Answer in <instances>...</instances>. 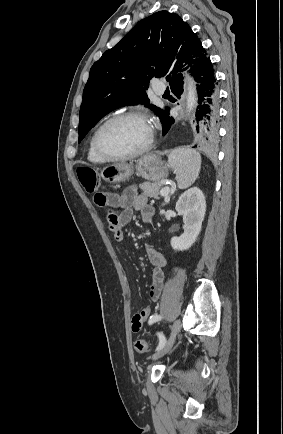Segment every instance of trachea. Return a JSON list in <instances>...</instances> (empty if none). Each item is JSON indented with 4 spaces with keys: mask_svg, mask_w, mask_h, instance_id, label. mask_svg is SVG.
<instances>
[{
    "mask_svg": "<svg viewBox=\"0 0 283 434\" xmlns=\"http://www.w3.org/2000/svg\"><path fill=\"white\" fill-rule=\"evenodd\" d=\"M167 94H169V91H166V92L164 93V95H167Z\"/></svg>",
    "mask_w": 283,
    "mask_h": 434,
    "instance_id": "3493384b",
    "label": "trachea"
}]
</instances>
